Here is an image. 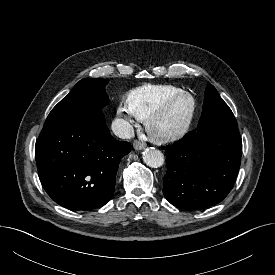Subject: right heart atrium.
<instances>
[{"label":"right heart atrium","mask_w":275,"mask_h":275,"mask_svg":"<svg viewBox=\"0 0 275 275\" xmlns=\"http://www.w3.org/2000/svg\"><path fill=\"white\" fill-rule=\"evenodd\" d=\"M118 114H119V116H122V117L126 118L127 120H130L133 115L129 111V109L126 105H122L118 108Z\"/></svg>","instance_id":"right-heart-atrium-1"}]
</instances>
